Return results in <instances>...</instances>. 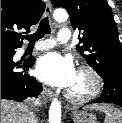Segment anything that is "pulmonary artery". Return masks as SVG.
Wrapping results in <instances>:
<instances>
[{"mask_svg":"<svg viewBox=\"0 0 122 123\" xmlns=\"http://www.w3.org/2000/svg\"><path fill=\"white\" fill-rule=\"evenodd\" d=\"M70 39H71V31L68 28H61L58 32L56 42L59 44H66L70 41ZM56 42L54 40L39 42L35 46V50H38V51L48 50L54 47Z\"/></svg>","mask_w":122,"mask_h":123,"instance_id":"1","label":"pulmonary artery"}]
</instances>
